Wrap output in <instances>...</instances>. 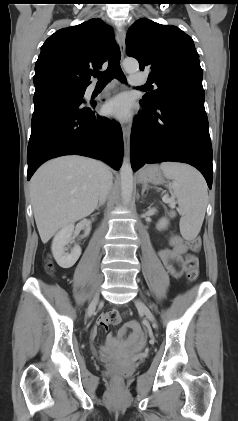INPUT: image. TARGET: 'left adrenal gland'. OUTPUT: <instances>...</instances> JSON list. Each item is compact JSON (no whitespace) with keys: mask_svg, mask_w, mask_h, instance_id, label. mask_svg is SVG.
I'll use <instances>...</instances> for the list:
<instances>
[{"mask_svg":"<svg viewBox=\"0 0 238 421\" xmlns=\"http://www.w3.org/2000/svg\"><path fill=\"white\" fill-rule=\"evenodd\" d=\"M146 190H148V187H147V184H143L142 185V191H141V195L143 196L144 195V192L146 191Z\"/></svg>","mask_w":238,"mask_h":421,"instance_id":"a2214340","label":"left adrenal gland"}]
</instances>
